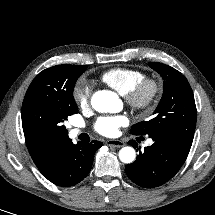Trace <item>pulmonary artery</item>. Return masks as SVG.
<instances>
[{
    "label": "pulmonary artery",
    "mask_w": 215,
    "mask_h": 215,
    "mask_svg": "<svg viewBox=\"0 0 215 215\" xmlns=\"http://www.w3.org/2000/svg\"><path fill=\"white\" fill-rule=\"evenodd\" d=\"M81 133V130L77 129V128H74V129H71L70 131V135L72 137H76L77 135H79ZM152 141L151 140H148L147 141V144H150Z\"/></svg>",
    "instance_id": "1"
}]
</instances>
